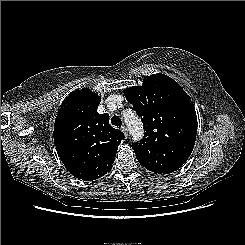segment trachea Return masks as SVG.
Wrapping results in <instances>:
<instances>
[{"mask_svg":"<svg viewBox=\"0 0 245 245\" xmlns=\"http://www.w3.org/2000/svg\"><path fill=\"white\" fill-rule=\"evenodd\" d=\"M111 123L117 127H121V119L118 116H113L111 119Z\"/></svg>","mask_w":245,"mask_h":245,"instance_id":"trachea-1","label":"trachea"}]
</instances>
